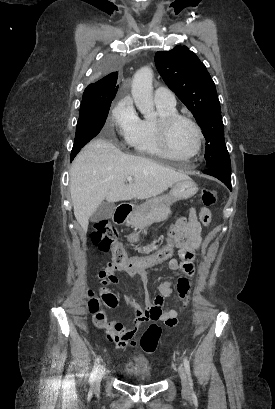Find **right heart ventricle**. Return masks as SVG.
I'll return each instance as SVG.
<instances>
[{
  "instance_id": "1",
  "label": "right heart ventricle",
  "mask_w": 275,
  "mask_h": 409,
  "mask_svg": "<svg viewBox=\"0 0 275 409\" xmlns=\"http://www.w3.org/2000/svg\"><path fill=\"white\" fill-rule=\"evenodd\" d=\"M158 119L139 120L135 135L131 141L136 154L151 157H169L163 150L158 133V123L162 118L177 114L175 108L157 106Z\"/></svg>"
}]
</instances>
